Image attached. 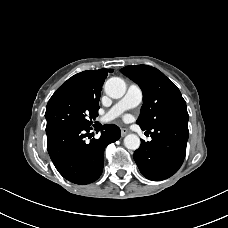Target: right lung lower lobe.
<instances>
[{
    "instance_id": "1",
    "label": "right lung lower lobe",
    "mask_w": 228,
    "mask_h": 228,
    "mask_svg": "<svg viewBox=\"0 0 228 228\" xmlns=\"http://www.w3.org/2000/svg\"><path fill=\"white\" fill-rule=\"evenodd\" d=\"M91 129V126H71L47 135L50 158L70 182L84 185L96 181L103 170L104 149L120 138V129L114 124L104 125L99 139H91Z\"/></svg>"
}]
</instances>
